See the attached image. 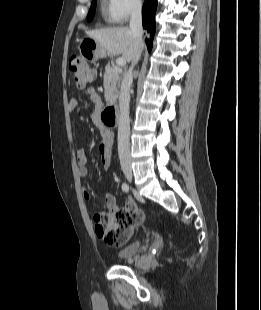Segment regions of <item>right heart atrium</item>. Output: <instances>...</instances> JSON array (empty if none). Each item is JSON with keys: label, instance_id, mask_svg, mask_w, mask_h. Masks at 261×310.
I'll use <instances>...</instances> for the list:
<instances>
[{"label": "right heart atrium", "instance_id": "right-heart-atrium-1", "mask_svg": "<svg viewBox=\"0 0 261 310\" xmlns=\"http://www.w3.org/2000/svg\"><path fill=\"white\" fill-rule=\"evenodd\" d=\"M142 10V0H110V13L113 22L126 23Z\"/></svg>", "mask_w": 261, "mask_h": 310}]
</instances>
